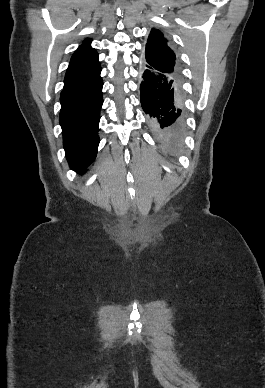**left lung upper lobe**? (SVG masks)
I'll return each mask as SVG.
<instances>
[{
	"label": "left lung upper lobe",
	"mask_w": 265,
	"mask_h": 388,
	"mask_svg": "<svg viewBox=\"0 0 265 388\" xmlns=\"http://www.w3.org/2000/svg\"><path fill=\"white\" fill-rule=\"evenodd\" d=\"M144 65L166 73L181 82V71L176 55L158 29L152 28L148 37Z\"/></svg>",
	"instance_id": "obj_1"
}]
</instances>
